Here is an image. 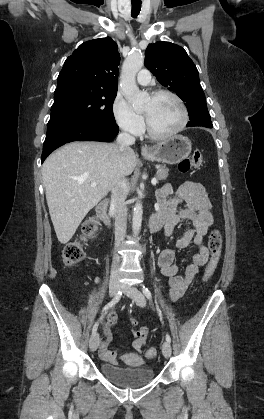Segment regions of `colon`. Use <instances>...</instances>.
Returning a JSON list of instances; mask_svg holds the SVG:
<instances>
[{
  "label": "colon",
  "instance_id": "1",
  "mask_svg": "<svg viewBox=\"0 0 264 419\" xmlns=\"http://www.w3.org/2000/svg\"><path fill=\"white\" fill-rule=\"evenodd\" d=\"M203 165V159L200 152L196 151L192 153L190 156L184 158L178 165V169L180 172L187 173L193 169H199ZM97 229V221L96 219L89 220L84 228V234L85 235H91L93 234ZM221 235L218 230H212L209 239H208V247L211 252V260L208 262V265L205 270L204 280L208 281L213 276L218 259L219 254L221 251ZM63 259L66 265L72 266L79 262H81L84 259V251L82 249V246L78 242H73L68 244L64 251H63ZM157 355V351L155 348L150 347L146 351V356L149 359H154Z\"/></svg>",
  "mask_w": 264,
  "mask_h": 419
}]
</instances>
